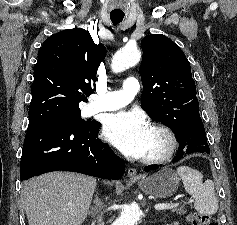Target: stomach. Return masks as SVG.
Returning a JSON list of instances; mask_svg holds the SVG:
<instances>
[{
  "mask_svg": "<svg viewBox=\"0 0 237 225\" xmlns=\"http://www.w3.org/2000/svg\"><path fill=\"white\" fill-rule=\"evenodd\" d=\"M136 181L146 194L164 199L171 197L177 191L180 178L173 170L165 168Z\"/></svg>",
  "mask_w": 237,
  "mask_h": 225,
  "instance_id": "0dacf381",
  "label": "stomach"
}]
</instances>
